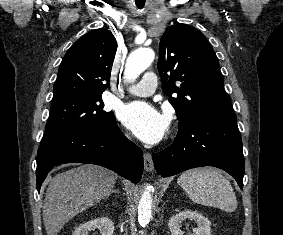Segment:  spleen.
I'll return each mask as SVG.
<instances>
[{
    "mask_svg": "<svg viewBox=\"0 0 283 235\" xmlns=\"http://www.w3.org/2000/svg\"><path fill=\"white\" fill-rule=\"evenodd\" d=\"M178 184L196 204L234 212L237 200L230 182L217 170L196 168L182 173Z\"/></svg>",
    "mask_w": 283,
    "mask_h": 235,
    "instance_id": "1",
    "label": "spleen"
}]
</instances>
